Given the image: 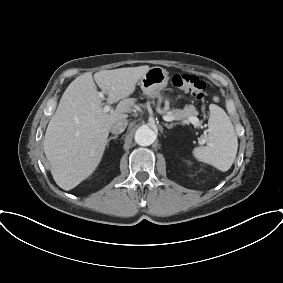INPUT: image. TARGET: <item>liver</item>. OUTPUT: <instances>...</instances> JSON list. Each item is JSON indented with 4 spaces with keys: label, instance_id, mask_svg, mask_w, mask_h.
Segmentation results:
<instances>
[{
    "label": "liver",
    "instance_id": "6515ba94",
    "mask_svg": "<svg viewBox=\"0 0 283 283\" xmlns=\"http://www.w3.org/2000/svg\"><path fill=\"white\" fill-rule=\"evenodd\" d=\"M148 65L87 72L77 77L62 95L44 138V153L56 184L71 190L98 167L112 125L128 117L135 99L129 96ZM98 87L115 110L105 112Z\"/></svg>",
    "mask_w": 283,
    "mask_h": 283
}]
</instances>
